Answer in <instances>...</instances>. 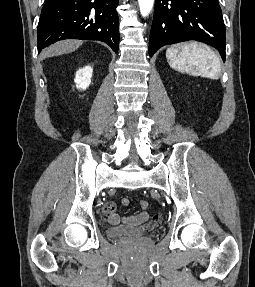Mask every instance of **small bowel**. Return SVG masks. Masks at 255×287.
Returning a JSON list of instances; mask_svg holds the SVG:
<instances>
[{
  "label": "small bowel",
  "mask_w": 255,
  "mask_h": 287,
  "mask_svg": "<svg viewBox=\"0 0 255 287\" xmlns=\"http://www.w3.org/2000/svg\"><path fill=\"white\" fill-rule=\"evenodd\" d=\"M121 203L124 206H128L130 204V200L129 198H123ZM116 209L117 207L115 203H108L104 208L108 221L112 225L123 223L127 226L154 228L162 222L161 214L150 216L146 212H139L131 216H121L116 212Z\"/></svg>",
  "instance_id": "1"
}]
</instances>
